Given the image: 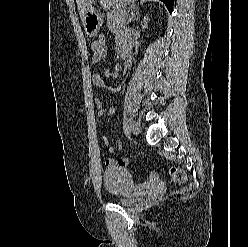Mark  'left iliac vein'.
<instances>
[{
    "label": "left iliac vein",
    "instance_id": "4c4485c4",
    "mask_svg": "<svg viewBox=\"0 0 248 247\" xmlns=\"http://www.w3.org/2000/svg\"><path fill=\"white\" fill-rule=\"evenodd\" d=\"M131 128L135 135H138L141 132V126L138 122H133Z\"/></svg>",
    "mask_w": 248,
    "mask_h": 247
}]
</instances>
